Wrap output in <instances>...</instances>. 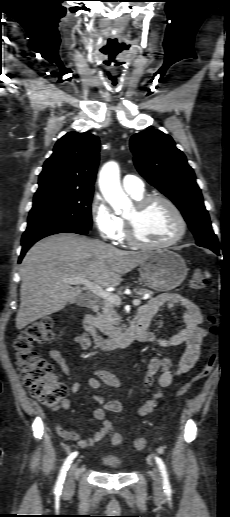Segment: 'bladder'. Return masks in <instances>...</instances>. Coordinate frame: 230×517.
I'll return each mask as SVG.
<instances>
[{
  "label": "bladder",
  "mask_w": 230,
  "mask_h": 517,
  "mask_svg": "<svg viewBox=\"0 0 230 517\" xmlns=\"http://www.w3.org/2000/svg\"><path fill=\"white\" fill-rule=\"evenodd\" d=\"M102 464L107 467V468H112V469H117L119 468L120 466V463L119 461H117L116 459L112 458V457H109V456H104L102 458Z\"/></svg>",
  "instance_id": "obj_1"
}]
</instances>
